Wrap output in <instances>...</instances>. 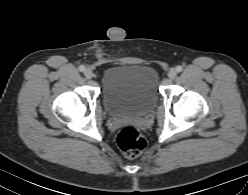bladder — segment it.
<instances>
[{"label": "bladder", "mask_w": 248, "mask_h": 195, "mask_svg": "<svg viewBox=\"0 0 248 195\" xmlns=\"http://www.w3.org/2000/svg\"><path fill=\"white\" fill-rule=\"evenodd\" d=\"M158 85L159 75L151 66H112L102 74L101 98L111 116H142L156 104Z\"/></svg>", "instance_id": "31cf9c89"}]
</instances>
